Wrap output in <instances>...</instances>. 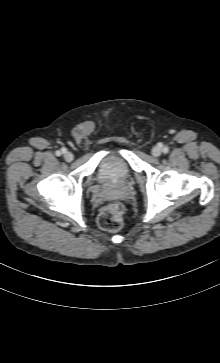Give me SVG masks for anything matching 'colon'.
<instances>
[{
  "label": "colon",
  "instance_id": "obj_1",
  "mask_svg": "<svg viewBox=\"0 0 220 363\" xmlns=\"http://www.w3.org/2000/svg\"><path fill=\"white\" fill-rule=\"evenodd\" d=\"M124 206L120 202L106 205L100 212L97 222L102 230L116 232L123 226Z\"/></svg>",
  "mask_w": 220,
  "mask_h": 363
}]
</instances>
